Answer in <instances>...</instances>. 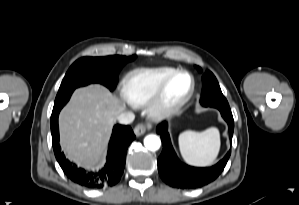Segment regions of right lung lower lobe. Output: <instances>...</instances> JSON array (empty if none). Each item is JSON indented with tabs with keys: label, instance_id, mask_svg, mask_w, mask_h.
Masks as SVG:
<instances>
[{
	"label": "right lung lower lobe",
	"instance_id": "98d812e1",
	"mask_svg": "<svg viewBox=\"0 0 299 205\" xmlns=\"http://www.w3.org/2000/svg\"><path fill=\"white\" fill-rule=\"evenodd\" d=\"M65 104L53 108L50 122L53 150L62 170L73 182L87 188L101 189L115 185L120 180L124 170L127 148L130 142L135 139L132 129L130 126L115 125L108 146L105 167L98 172L86 173L84 169L77 168L60 152L58 115Z\"/></svg>",
	"mask_w": 299,
	"mask_h": 205
}]
</instances>
